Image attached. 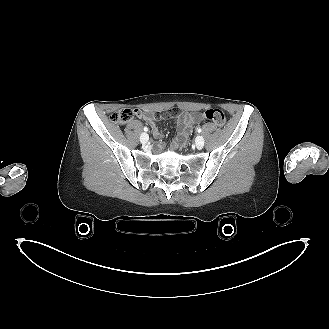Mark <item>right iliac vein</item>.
Masks as SVG:
<instances>
[{"mask_svg": "<svg viewBox=\"0 0 329 329\" xmlns=\"http://www.w3.org/2000/svg\"><path fill=\"white\" fill-rule=\"evenodd\" d=\"M148 140H149V136H148L147 133H142V134L140 135V142H141L142 144L147 143Z\"/></svg>", "mask_w": 329, "mask_h": 329, "instance_id": "1", "label": "right iliac vein"}]
</instances>
